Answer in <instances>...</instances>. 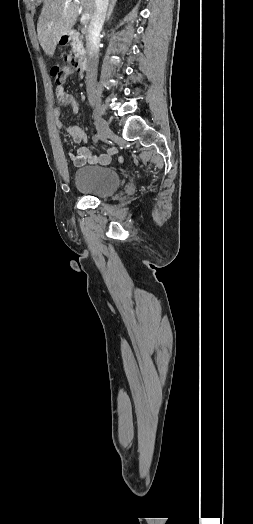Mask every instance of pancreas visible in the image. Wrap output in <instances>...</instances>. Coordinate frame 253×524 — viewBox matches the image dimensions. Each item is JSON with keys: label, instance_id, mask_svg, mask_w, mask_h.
Instances as JSON below:
<instances>
[{"label": "pancreas", "instance_id": "pancreas-1", "mask_svg": "<svg viewBox=\"0 0 253 524\" xmlns=\"http://www.w3.org/2000/svg\"><path fill=\"white\" fill-rule=\"evenodd\" d=\"M72 50L75 53L76 57L83 58L84 56V46L81 38L74 36L72 40Z\"/></svg>", "mask_w": 253, "mask_h": 524}]
</instances>
